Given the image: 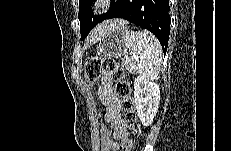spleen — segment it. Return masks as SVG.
<instances>
[{
    "instance_id": "obj_1",
    "label": "spleen",
    "mask_w": 231,
    "mask_h": 151,
    "mask_svg": "<svg viewBox=\"0 0 231 151\" xmlns=\"http://www.w3.org/2000/svg\"><path fill=\"white\" fill-rule=\"evenodd\" d=\"M126 43L132 54V62L140 76L155 80L162 66V47L149 31H130Z\"/></svg>"
}]
</instances>
